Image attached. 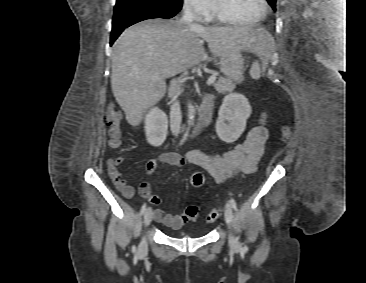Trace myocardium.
<instances>
[{
	"mask_svg": "<svg viewBox=\"0 0 366 283\" xmlns=\"http://www.w3.org/2000/svg\"><path fill=\"white\" fill-rule=\"evenodd\" d=\"M262 4H263V12L262 14L257 17L256 19L252 20V21H242L237 19L236 17H234L226 8L225 6L221 3L220 0H213V9H214V13L216 14V16L218 18H220L221 20L231 23V24H235V25H240V26H251V25H255L257 23H259L260 21H262L268 14V2L267 0H261Z\"/></svg>",
	"mask_w": 366,
	"mask_h": 283,
	"instance_id": "f54148a6",
	"label": "myocardium"
}]
</instances>
